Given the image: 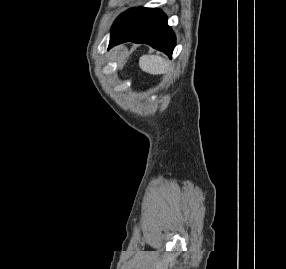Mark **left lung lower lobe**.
<instances>
[{
  "label": "left lung lower lobe",
  "mask_w": 286,
  "mask_h": 269,
  "mask_svg": "<svg viewBox=\"0 0 286 269\" xmlns=\"http://www.w3.org/2000/svg\"><path fill=\"white\" fill-rule=\"evenodd\" d=\"M133 41L146 43L169 57L175 47V35L167 24L166 15L156 8H135L111 30L108 49Z\"/></svg>",
  "instance_id": "1"
}]
</instances>
